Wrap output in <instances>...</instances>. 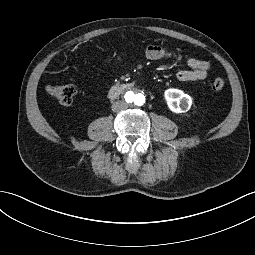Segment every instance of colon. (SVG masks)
<instances>
[{
	"mask_svg": "<svg viewBox=\"0 0 255 255\" xmlns=\"http://www.w3.org/2000/svg\"><path fill=\"white\" fill-rule=\"evenodd\" d=\"M211 87L214 92H220L224 88V81L220 78L215 79L212 82ZM46 90L52 98L56 99L63 105L72 104L77 95V88L71 84L49 85Z\"/></svg>",
	"mask_w": 255,
	"mask_h": 255,
	"instance_id": "colon-1",
	"label": "colon"
}]
</instances>
